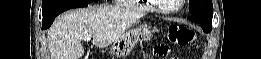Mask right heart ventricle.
Returning a JSON list of instances; mask_svg holds the SVG:
<instances>
[{
	"label": "right heart ventricle",
	"instance_id": "obj_1",
	"mask_svg": "<svg viewBox=\"0 0 261 59\" xmlns=\"http://www.w3.org/2000/svg\"><path fill=\"white\" fill-rule=\"evenodd\" d=\"M120 2L124 3L127 6L138 3V1H131V0H120ZM144 10H149V7H145Z\"/></svg>",
	"mask_w": 261,
	"mask_h": 59
}]
</instances>
